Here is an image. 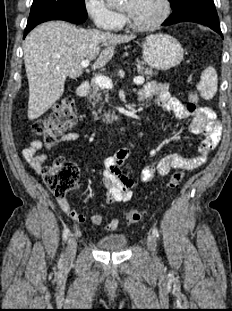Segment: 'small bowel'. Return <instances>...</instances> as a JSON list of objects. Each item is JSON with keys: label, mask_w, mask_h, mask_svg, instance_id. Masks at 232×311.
Returning a JSON list of instances; mask_svg holds the SVG:
<instances>
[{"label": "small bowel", "mask_w": 232, "mask_h": 311, "mask_svg": "<svg viewBox=\"0 0 232 311\" xmlns=\"http://www.w3.org/2000/svg\"><path fill=\"white\" fill-rule=\"evenodd\" d=\"M141 101H153L166 112H172L180 119L192 117L189 131L195 135H204V139L199 145V154L193 158H186L179 154H169L156 163L147 165L141 172L140 181L150 183L155 177L168 176L174 169L192 171L200 167L206 161L207 156L216 148L221 137V124L215 118L214 113L206 108L200 107L195 112H189L185 106L168 90V85L161 81H149L143 85L140 91ZM144 136L139 132L135 138L117 150V152L104 160L102 185L106 191V202L108 204L126 203L133 196V189L138 182L133 178L127 169V159L137 140ZM80 134L75 131L67 132L57 138L52 143H43L40 140H33L28 146L23 148L22 155L31 168L38 174H42L41 166L47 159V152L53 147L68 142H75L80 139ZM45 153H39L40 150ZM56 200L62 211L76 222L83 223L86 218L81 213L72 208L65 196H57ZM89 221L94 225H99L104 221L102 214H93ZM119 225L117 217L112 218L104 227L105 231H113Z\"/></svg>", "instance_id": "1"}]
</instances>
